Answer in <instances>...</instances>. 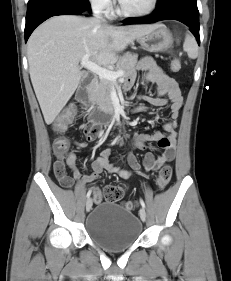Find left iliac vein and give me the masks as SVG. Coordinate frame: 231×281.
Here are the masks:
<instances>
[{
	"label": "left iliac vein",
	"instance_id": "4c4485c4",
	"mask_svg": "<svg viewBox=\"0 0 231 281\" xmlns=\"http://www.w3.org/2000/svg\"><path fill=\"white\" fill-rule=\"evenodd\" d=\"M139 216L143 222L146 220V212L143 208L140 209Z\"/></svg>",
	"mask_w": 231,
	"mask_h": 281
}]
</instances>
